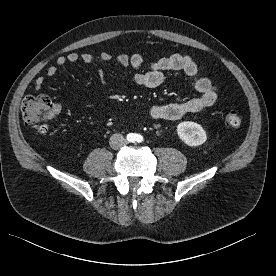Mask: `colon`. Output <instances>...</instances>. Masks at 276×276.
<instances>
[{
    "mask_svg": "<svg viewBox=\"0 0 276 276\" xmlns=\"http://www.w3.org/2000/svg\"><path fill=\"white\" fill-rule=\"evenodd\" d=\"M54 113L55 105L47 95H30L22 100V119L38 134L44 135L48 133V121L53 118ZM225 125L230 129H238L242 125L241 114L235 110L227 112L225 115Z\"/></svg>",
    "mask_w": 276,
    "mask_h": 276,
    "instance_id": "5ec220e1",
    "label": "colon"
}]
</instances>
